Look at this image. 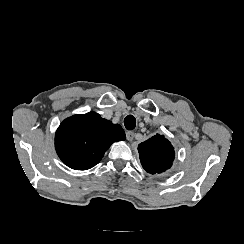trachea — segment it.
Instances as JSON below:
<instances>
[{
    "label": "trachea",
    "mask_w": 244,
    "mask_h": 244,
    "mask_svg": "<svg viewBox=\"0 0 244 244\" xmlns=\"http://www.w3.org/2000/svg\"><path fill=\"white\" fill-rule=\"evenodd\" d=\"M124 125L127 130H133L136 126V119L133 115H128L124 119Z\"/></svg>",
    "instance_id": "obj_1"
}]
</instances>
